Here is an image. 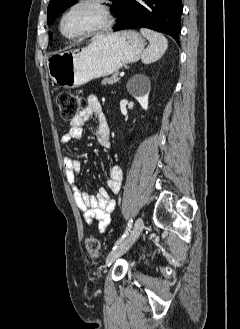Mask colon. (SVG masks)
<instances>
[{
	"mask_svg": "<svg viewBox=\"0 0 240 329\" xmlns=\"http://www.w3.org/2000/svg\"><path fill=\"white\" fill-rule=\"evenodd\" d=\"M57 104L60 110V115L64 120H73L78 113L85 108V99L75 93L63 91L57 96ZM86 249L93 257H100L99 242L94 237H89L85 241Z\"/></svg>",
	"mask_w": 240,
	"mask_h": 329,
	"instance_id": "5ec220e1",
	"label": "colon"
}]
</instances>
